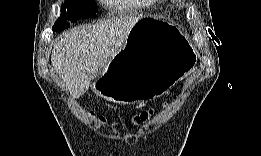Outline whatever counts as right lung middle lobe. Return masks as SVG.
I'll use <instances>...</instances> for the list:
<instances>
[{
  "label": "right lung middle lobe",
  "instance_id": "right-lung-middle-lobe-1",
  "mask_svg": "<svg viewBox=\"0 0 261 156\" xmlns=\"http://www.w3.org/2000/svg\"><path fill=\"white\" fill-rule=\"evenodd\" d=\"M97 5L92 0H65L61 7V16L53 25V31H63L79 19L94 18Z\"/></svg>",
  "mask_w": 261,
  "mask_h": 156
}]
</instances>
